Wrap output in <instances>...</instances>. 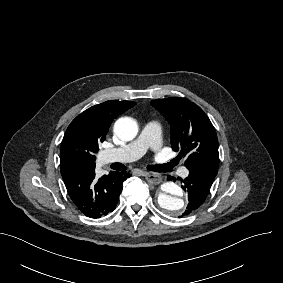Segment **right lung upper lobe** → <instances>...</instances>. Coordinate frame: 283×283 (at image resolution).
<instances>
[{"mask_svg":"<svg viewBox=\"0 0 283 283\" xmlns=\"http://www.w3.org/2000/svg\"><path fill=\"white\" fill-rule=\"evenodd\" d=\"M136 103L131 101L110 100L92 106L78 115L67 128L61 147L68 144L98 146L106 138L109 126L118 115Z\"/></svg>","mask_w":283,"mask_h":283,"instance_id":"1","label":"right lung upper lobe"}]
</instances>
